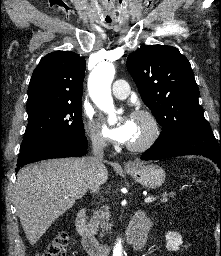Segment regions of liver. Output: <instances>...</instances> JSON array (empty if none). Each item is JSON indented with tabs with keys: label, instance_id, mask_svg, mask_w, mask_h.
Listing matches in <instances>:
<instances>
[{
	"label": "liver",
	"instance_id": "liver-1",
	"mask_svg": "<svg viewBox=\"0 0 221 256\" xmlns=\"http://www.w3.org/2000/svg\"><path fill=\"white\" fill-rule=\"evenodd\" d=\"M87 158L51 159L22 168L14 187L20 223L34 245L89 189ZM108 179L106 167L100 185Z\"/></svg>",
	"mask_w": 221,
	"mask_h": 256
}]
</instances>
